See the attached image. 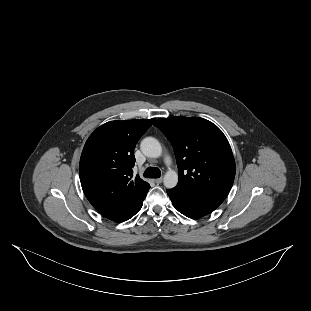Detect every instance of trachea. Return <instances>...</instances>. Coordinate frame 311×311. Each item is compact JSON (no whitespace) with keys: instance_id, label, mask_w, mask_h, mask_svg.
I'll return each mask as SVG.
<instances>
[{"instance_id":"1","label":"trachea","mask_w":311,"mask_h":311,"mask_svg":"<svg viewBox=\"0 0 311 311\" xmlns=\"http://www.w3.org/2000/svg\"><path fill=\"white\" fill-rule=\"evenodd\" d=\"M161 176V171L157 167H148L144 172L145 178H159Z\"/></svg>"}]
</instances>
